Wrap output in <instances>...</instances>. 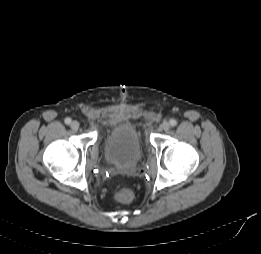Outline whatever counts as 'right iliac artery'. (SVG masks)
I'll use <instances>...</instances> for the list:
<instances>
[{
    "mask_svg": "<svg viewBox=\"0 0 261 254\" xmlns=\"http://www.w3.org/2000/svg\"><path fill=\"white\" fill-rule=\"evenodd\" d=\"M65 123H66L67 125H69V124L71 123V119H70V118H66V119H65Z\"/></svg>",
    "mask_w": 261,
    "mask_h": 254,
    "instance_id": "obj_1",
    "label": "right iliac artery"
}]
</instances>
